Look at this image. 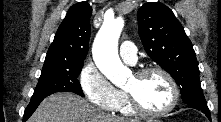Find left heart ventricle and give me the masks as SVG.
<instances>
[{
  "mask_svg": "<svg viewBox=\"0 0 221 122\" xmlns=\"http://www.w3.org/2000/svg\"><path fill=\"white\" fill-rule=\"evenodd\" d=\"M125 89L132 91L139 102L152 111L164 109L171 100L169 84L158 73L148 74L141 79L132 76Z\"/></svg>",
  "mask_w": 221,
  "mask_h": 122,
  "instance_id": "left-heart-ventricle-1",
  "label": "left heart ventricle"
}]
</instances>
